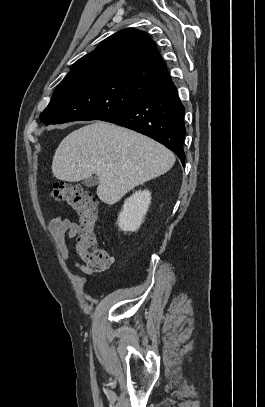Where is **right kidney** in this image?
<instances>
[{
    "instance_id": "ca27d5eb",
    "label": "right kidney",
    "mask_w": 265,
    "mask_h": 407,
    "mask_svg": "<svg viewBox=\"0 0 265 407\" xmlns=\"http://www.w3.org/2000/svg\"><path fill=\"white\" fill-rule=\"evenodd\" d=\"M151 203L149 190L138 191L126 199L117 220L119 228L124 232H134L143 223V219Z\"/></svg>"
}]
</instances>
